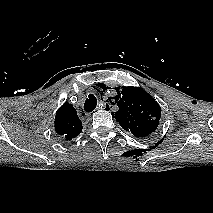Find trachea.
I'll return each instance as SVG.
<instances>
[{"label":"trachea","instance_id":"trachea-1","mask_svg":"<svg viewBox=\"0 0 213 213\" xmlns=\"http://www.w3.org/2000/svg\"><path fill=\"white\" fill-rule=\"evenodd\" d=\"M97 106V99L93 94H89L84 104L86 112H92Z\"/></svg>","mask_w":213,"mask_h":213}]
</instances>
